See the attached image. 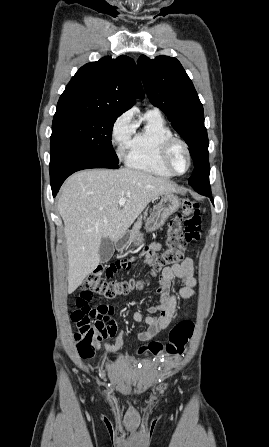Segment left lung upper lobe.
I'll return each mask as SVG.
<instances>
[{
  "label": "left lung upper lobe",
  "mask_w": 269,
  "mask_h": 447,
  "mask_svg": "<svg viewBox=\"0 0 269 447\" xmlns=\"http://www.w3.org/2000/svg\"><path fill=\"white\" fill-rule=\"evenodd\" d=\"M138 69L151 103L165 113L189 146L195 167L188 179L189 185L208 186L209 142L203 106L192 81L180 62L169 56L151 60L142 55L138 59Z\"/></svg>",
  "instance_id": "left-lung-upper-lobe-1"
}]
</instances>
